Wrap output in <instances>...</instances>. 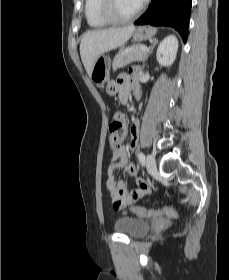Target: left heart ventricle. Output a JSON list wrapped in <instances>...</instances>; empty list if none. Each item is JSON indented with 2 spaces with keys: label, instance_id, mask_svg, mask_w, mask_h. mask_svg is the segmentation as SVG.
<instances>
[{
  "label": "left heart ventricle",
  "instance_id": "left-heart-ventricle-1",
  "mask_svg": "<svg viewBox=\"0 0 229 280\" xmlns=\"http://www.w3.org/2000/svg\"><path fill=\"white\" fill-rule=\"evenodd\" d=\"M114 8L118 15L129 16L133 14L139 6L137 0H115Z\"/></svg>",
  "mask_w": 229,
  "mask_h": 280
}]
</instances>
